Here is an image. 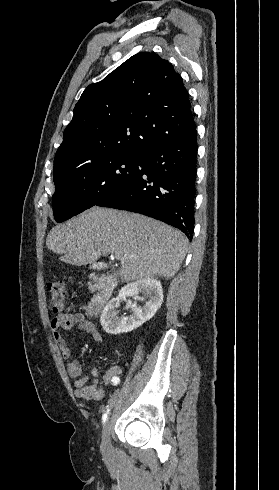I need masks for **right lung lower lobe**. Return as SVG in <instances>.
<instances>
[{"label": "right lung lower lobe", "instance_id": "right-lung-lower-lobe-1", "mask_svg": "<svg viewBox=\"0 0 279 490\" xmlns=\"http://www.w3.org/2000/svg\"><path fill=\"white\" fill-rule=\"evenodd\" d=\"M197 131L143 157V172L96 205L141 213L194 232Z\"/></svg>", "mask_w": 279, "mask_h": 490}]
</instances>
